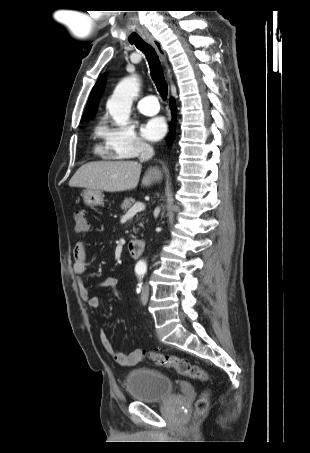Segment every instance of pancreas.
<instances>
[{
  "instance_id": "obj_1",
  "label": "pancreas",
  "mask_w": 310,
  "mask_h": 453,
  "mask_svg": "<svg viewBox=\"0 0 310 453\" xmlns=\"http://www.w3.org/2000/svg\"><path fill=\"white\" fill-rule=\"evenodd\" d=\"M135 203L134 198H126L123 203L121 204V209L124 211H127L132 207V205Z\"/></svg>"
}]
</instances>
